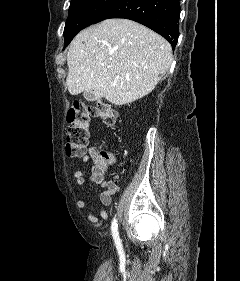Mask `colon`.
<instances>
[{
    "label": "colon",
    "mask_w": 240,
    "mask_h": 281,
    "mask_svg": "<svg viewBox=\"0 0 240 281\" xmlns=\"http://www.w3.org/2000/svg\"><path fill=\"white\" fill-rule=\"evenodd\" d=\"M92 118L101 120L104 126L113 127L117 121V114L113 108L104 102L94 105L81 101H74L67 112L66 154L71 158H82L91 155L95 166L105 171L110 155L97 148L89 146V122Z\"/></svg>",
    "instance_id": "obj_1"
}]
</instances>
